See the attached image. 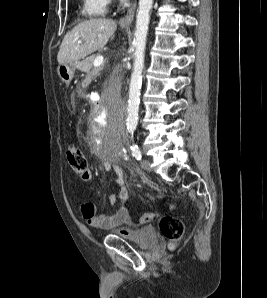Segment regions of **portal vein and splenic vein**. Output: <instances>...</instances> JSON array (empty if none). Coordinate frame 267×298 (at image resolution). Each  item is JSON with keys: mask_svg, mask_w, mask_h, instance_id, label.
<instances>
[{"mask_svg": "<svg viewBox=\"0 0 267 298\" xmlns=\"http://www.w3.org/2000/svg\"><path fill=\"white\" fill-rule=\"evenodd\" d=\"M78 43H82V41L81 40H79L78 41ZM103 62H104V58H103V56H97L96 58H95V60H94V67H99V66H101L102 64H103Z\"/></svg>", "mask_w": 267, "mask_h": 298, "instance_id": "18ae733b", "label": "portal vein and splenic vein"}]
</instances>
